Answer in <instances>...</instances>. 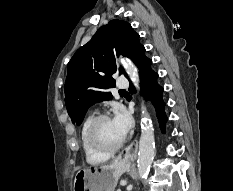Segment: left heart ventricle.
<instances>
[{
  "instance_id": "obj_1",
  "label": "left heart ventricle",
  "mask_w": 233,
  "mask_h": 191,
  "mask_svg": "<svg viewBox=\"0 0 233 191\" xmlns=\"http://www.w3.org/2000/svg\"><path fill=\"white\" fill-rule=\"evenodd\" d=\"M96 136L99 143L105 147H112L123 139L112 119L104 120L99 124Z\"/></svg>"
}]
</instances>
